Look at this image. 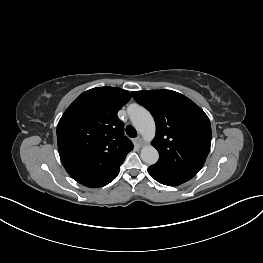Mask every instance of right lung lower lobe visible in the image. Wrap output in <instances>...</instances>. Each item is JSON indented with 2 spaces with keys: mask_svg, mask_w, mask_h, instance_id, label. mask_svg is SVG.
I'll use <instances>...</instances> for the list:
<instances>
[{
  "mask_svg": "<svg viewBox=\"0 0 263 263\" xmlns=\"http://www.w3.org/2000/svg\"><path fill=\"white\" fill-rule=\"evenodd\" d=\"M119 171H120V166H118L117 168H115L113 171H111L109 174L105 176H102L96 179H92V180H88V181L82 182L81 184L87 187H90V188H98L101 186H105L116 178Z\"/></svg>",
  "mask_w": 263,
  "mask_h": 263,
  "instance_id": "obj_1",
  "label": "right lung lower lobe"
}]
</instances>
